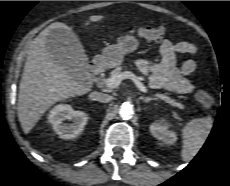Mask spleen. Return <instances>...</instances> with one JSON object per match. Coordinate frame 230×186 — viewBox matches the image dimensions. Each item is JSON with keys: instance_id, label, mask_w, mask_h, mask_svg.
Instances as JSON below:
<instances>
[{"instance_id": "spleen-1", "label": "spleen", "mask_w": 230, "mask_h": 186, "mask_svg": "<svg viewBox=\"0 0 230 186\" xmlns=\"http://www.w3.org/2000/svg\"><path fill=\"white\" fill-rule=\"evenodd\" d=\"M212 128L210 117L193 119L182 129L181 157L184 161L191 160L205 143Z\"/></svg>"}]
</instances>
